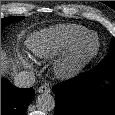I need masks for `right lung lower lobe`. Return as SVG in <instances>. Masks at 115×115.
Returning <instances> with one entry per match:
<instances>
[{
  "mask_svg": "<svg viewBox=\"0 0 115 115\" xmlns=\"http://www.w3.org/2000/svg\"><path fill=\"white\" fill-rule=\"evenodd\" d=\"M34 98L33 88H18L7 79H1V115H25Z\"/></svg>",
  "mask_w": 115,
  "mask_h": 115,
  "instance_id": "obj_1",
  "label": "right lung lower lobe"
}]
</instances>
